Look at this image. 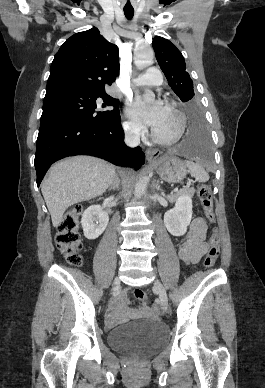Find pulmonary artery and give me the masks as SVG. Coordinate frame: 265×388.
I'll use <instances>...</instances> for the list:
<instances>
[{
    "label": "pulmonary artery",
    "instance_id": "pulmonary-artery-1",
    "mask_svg": "<svg viewBox=\"0 0 265 388\" xmlns=\"http://www.w3.org/2000/svg\"><path fill=\"white\" fill-rule=\"evenodd\" d=\"M150 69H146V75H142L141 79H137L135 81V84L137 86H160L161 80L160 76L158 75V69H151L152 67H149ZM136 79L135 77L133 78Z\"/></svg>",
    "mask_w": 265,
    "mask_h": 388
}]
</instances>
